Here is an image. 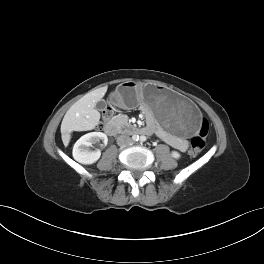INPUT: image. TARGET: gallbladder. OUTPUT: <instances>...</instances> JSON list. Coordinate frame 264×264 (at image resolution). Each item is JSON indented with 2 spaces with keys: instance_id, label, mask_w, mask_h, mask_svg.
Returning a JSON list of instances; mask_svg holds the SVG:
<instances>
[{
  "instance_id": "1",
  "label": "gallbladder",
  "mask_w": 264,
  "mask_h": 264,
  "mask_svg": "<svg viewBox=\"0 0 264 264\" xmlns=\"http://www.w3.org/2000/svg\"><path fill=\"white\" fill-rule=\"evenodd\" d=\"M106 107H107V104H106L105 100H103V99L98 100V102L95 105V108L98 111L104 110V109H106Z\"/></svg>"
}]
</instances>
